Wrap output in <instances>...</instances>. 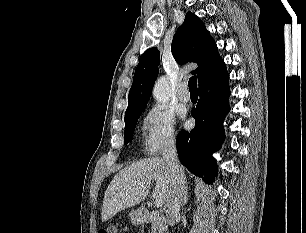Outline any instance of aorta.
<instances>
[{
	"label": "aorta",
	"instance_id": "762f6f07",
	"mask_svg": "<svg viewBox=\"0 0 306 233\" xmlns=\"http://www.w3.org/2000/svg\"><path fill=\"white\" fill-rule=\"evenodd\" d=\"M153 96L160 104H166L170 98V89L166 77H160L153 88Z\"/></svg>",
	"mask_w": 306,
	"mask_h": 233
}]
</instances>
